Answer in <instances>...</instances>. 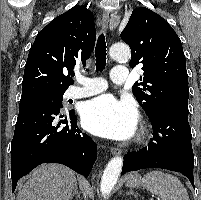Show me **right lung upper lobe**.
Wrapping results in <instances>:
<instances>
[{
    "label": "right lung upper lobe",
    "mask_w": 201,
    "mask_h": 200,
    "mask_svg": "<svg viewBox=\"0 0 201 200\" xmlns=\"http://www.w3.org/2000/svg\"><path fill=\"white\" fill-rule=\"evenodd\" d=\"M95 40L94 16L86 7L75 6L53 19L37 34L31 46L22 96L64 93L73 84L69 72L76 64L85 65Z\"/></svg>",
    "instance_id": "1"
}]
</instances>
